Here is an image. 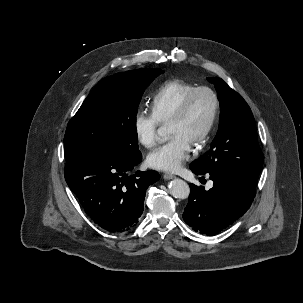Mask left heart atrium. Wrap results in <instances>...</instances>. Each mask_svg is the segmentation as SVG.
<instances>
[{
  "mask_svg": "<svg viewBox=\"0 0 303 303\" xmlns=\"http://www.w3.org/2000/svg\"><path fill=\"white\" fill-rule=\"evenodd\" d=\"M192 144L181 135L170 139L148 155V164L160 171H178L189 158Z\"/></svg>",
  "mask_w": 303,
  "mask_h": 303,
  "instance_id": "39dd6f15",
  "label": "left heart atrium"
}]
</instances>
